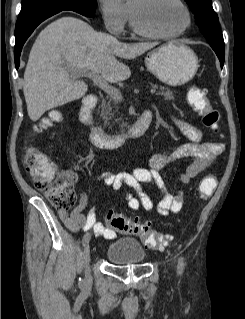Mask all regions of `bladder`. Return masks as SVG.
I'll list each match as a JSON object with an SVG mask.
<instances>
[{
  "label": "bladder",
  "instance_id": "1",
  "mask_svg": "<svg viewBox=\"0 0 245 319\" xmlns=\"http://www.w3.org/2000/svg\"><path fill=\"white\" fill-rule=\"evenodd\" d=\"M105 257L116 264H139L146 253L137 239L116 238L107 247Z\"/></svg>",
  "mask_w": 245,
  "mask_h": 319
}]
</instances>
